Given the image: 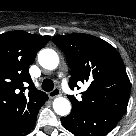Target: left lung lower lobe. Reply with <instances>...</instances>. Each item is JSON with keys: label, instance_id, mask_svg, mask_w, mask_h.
<instances>
[{"label": "left lung lower lobe", "instance_id": "1", "mask_svg": "<svg viewBox=\"0 0 136 136\" xmlns=\"http://www.w3.org/2000/svg\"><path fill=\"white\" fill-rule=\"evenodd\" d=\"M121 118L115 115L72 110L61 118L63 126L77 136H103L109 133Z\"/></svg>", "mask_w": 136, "mask_h": 136}]
</instances>
